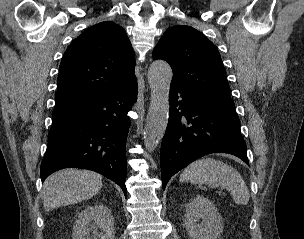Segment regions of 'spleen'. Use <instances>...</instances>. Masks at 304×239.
<instances>
[{
    "label": "spleen",
    "mask_w": 304,
    "mask_h": 239,
    "mask_svg": "<svg viewBox=\"0 0 304 239\" xmlns=\"http://www.w3.org/2000/svg\"><path fill=\"white\" fill-rule=\"evenodd\" d=\"M181 181L191 184L219 186L228 190L238 205H247L250 194L240 173L232 166L213 158L199 159L187 166L180 175Z\"/></svg>",
    "instance_id": "3e777b00"
}]
</instances>
